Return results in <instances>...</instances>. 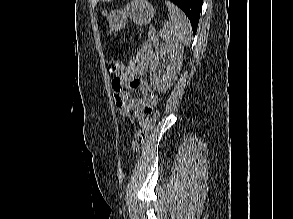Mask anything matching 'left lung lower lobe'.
<instances>
[{"instance_id": "1", "label": "left lung lower lobe", "mask_w": 293, "mask_h": 219, "mask_svg": "<svg viewBox=\"0 0 293 219\" xmlns=\"http://www.w3.org/2000/svg\"><path fill=\"white\" fill-rule=\"evenodd\" d=\"M180 7L190 19L193 33L196 34L203 0H170Z\"/></svg>"}]
</instances>
